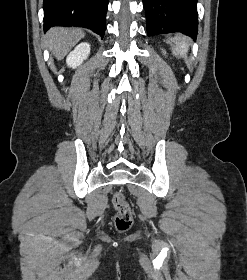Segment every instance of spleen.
<instances>
[{
  "mask_svg": "<svg viewBox=\"0 0 247 280\" xmlns=\"http://www.w3.org/2000/svg\"><path fill=\"white\" fill-rule=\"evenodd\" d=\"M170 44L174 55L178 58H185L189 48V39L185 36L170 38Z\"/></svg>",
  "mask_w": 247,
  "mask_h": 280,
  "instance_id": "1",
  "label": "spleen"
}]
</instances>
